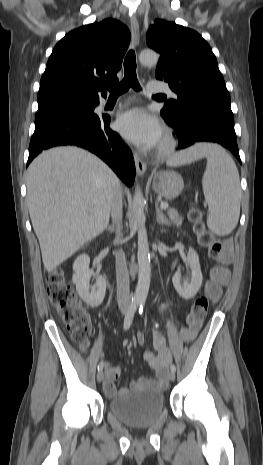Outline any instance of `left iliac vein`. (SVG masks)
<instances>
[{
  "label": "left iliac vein",
  "mask_w": 263,
  "mask_h": 465,
  "mask_svg": "<svg viewBox=\"0 0 263 465\" xmlns=\"http://www.w3.org/2000/svg\"><path fill=\"white\" fill-rule=\"evenodd\" d=\"M168 378H169L170 381H174L175 380V372L170 371L169 374H168Z\"/></svg>",
  "instance_id": "1"
}]
</instances>
